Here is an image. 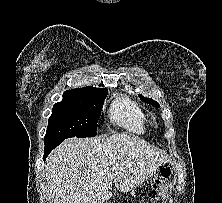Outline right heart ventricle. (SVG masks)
Instances as JSON below:
<instances>
[{
	"mask_svg": "<svg viewBox=\"0 0 222 203\" xmlns=\"http://www.w3.org/2000/svg\"><path fill=\"white\" fill-rule=\"evenodd\" d=\"M109 116L113 122L131 133L146 132L148 125L146 114L136 103L127 98L114 100L109 109Z\"/></svg>",
	"mask_w": 222,
	"mask_h": 203,
	"instance_id": "1",
	"label": "right heart ventricle"
}]
</instances>
